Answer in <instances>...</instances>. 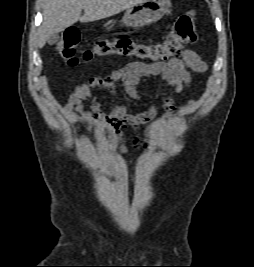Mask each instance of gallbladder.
Wrapping results in <instances>:
<instances>
[{"label":"gallbladder","instance_id":"1","mask_svg":"<svg viewBox=\"0 0 254 267\" xmlns=\"http://www.w3.org/2000/svg\"><path fill=\"white\" fill-rule=\"evenodd\" d=\"M58 40H59V35L56 33V34L50 35L47 39V42L49 45H54Z\"/></svg>","mask_w":254,"mask_h":267}]
</instances>
